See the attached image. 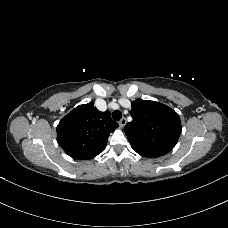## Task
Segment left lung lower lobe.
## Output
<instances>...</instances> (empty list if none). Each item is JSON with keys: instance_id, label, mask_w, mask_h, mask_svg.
Returning a JSON list of instances; mask_svg holds the SVG:
<instances>
[{"instance_id": "1", "label": "left lung lower lobe", "mask_w": 228, "mask_h": 228, "mask_svg": "<svg viewBox=\"0 0 228 228\" xmlns=\"http://www.w3.org/2000/svg\"><path fill=\"white\" fill-rule=\"evenodd\" d=\"M144 157H148V158H155V157H158V156H154V155H142Z\"/></svg>"}]
</instances>
